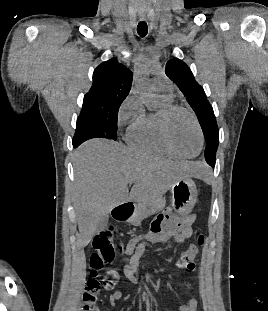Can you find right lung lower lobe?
Here are the masks:
<instances>
[{"label": "right lung lower lobe", "mask_w": 268, "mask_h": 311, "mask_svg": "<svg viewBox=\"0 0 268 311\" xmlns=\"http://www.w3.org/2000/svg\"><path fill=\"white\" fill-rule=\"evenodd\" d=\"M72 144H73V147L76 148L81 144V142H73L72 141Z\"/></svg>", "instance_id": "98d812e1"}]
</instances>
